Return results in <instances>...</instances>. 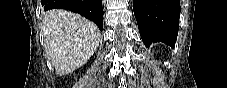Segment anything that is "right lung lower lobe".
I'll return each instance as SVG.
<instances>
[{
    "mask_svg": "<svg viewBox=\"0 0 227 88\" xmlns=\"http://www.w3.org/2000/svg\"><path fill=\"white\" fill-rule=\"evenodd\" d=\"M44 10L65 9L79 13L103 29L102 0H41Z\"/></svg>",
    "mask_w": 227,
    "mask_h": 88,
    "instance_id": "right-lung-lower-lobe-1",
    "label": "right lung lower lobe"
}]
</instances>
